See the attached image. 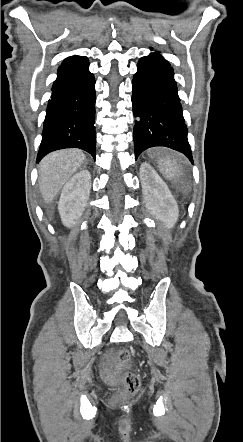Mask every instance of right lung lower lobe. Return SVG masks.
Segmentation results:
<instances>
[{
    "instance_id": "obj_1",
    "label": "right lung lower lobe",
    "mask_w": 243,
    "mask_h": 442,
    "mask_svg": "<svg viewBox=\"0 0 243 442\" xmlns=\"http://www.w3.org/2000/svg\"><path fill=\"white\" fill-rule=\"evenodd\" d=\"M84 56H71L58 68L48 101L37 161L63 148H80L95 158V79Z\"/></svg>"
}]
</instances>
